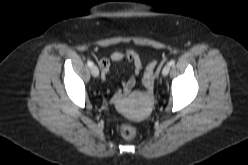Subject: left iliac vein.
I'll return each instance as SVG.
<instances>
[{"label":"left iliac vein","instance_id":"1","mask_svg":"<svg viewBox=\"0 0 248 165\" xmlns=\"http://www.w3.org/2000/svg\"><path fill=\"white\" fill-rule=\"evenodd\" d=\"M169 71H170V65H165L164 67H163V69H162V75L163 76H167L168 75V73H169Z\"/></svg>","mask_w":248,"mask_h":165}]
</instances>
